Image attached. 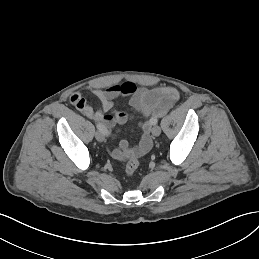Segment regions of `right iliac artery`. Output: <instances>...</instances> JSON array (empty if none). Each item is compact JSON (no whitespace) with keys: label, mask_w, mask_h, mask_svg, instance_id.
Wrapping results in <instances>:
<instances>
[{"label":"right iliac artery","mask_w":259,"mask_h":259,"mask_svg":"<svg viewBox=\"0 0 259 259\" xmlns=\"http://www.w3.org/2000/svg\"><path fill=\"white\" fill-rule=\"evenodd\" d=\"M96 127H97V129H98L101 133H103L104 135H108V134H109L108 130H107L102 124L97 123V124H96Z\"/></svg>","instance_id":"82829eb1"}]
</instances>
